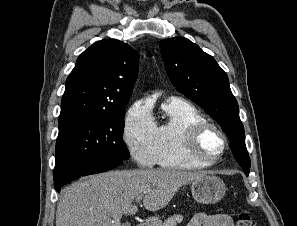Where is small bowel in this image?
<instances>
[{
  "label": "small bowel",
  "mask_w": 297,
  "mask_h": 226,
  "mask_svg": "<svg viewBox=\"0 0 297 226\" xmlns=\"http://www.w3.org/2000/svg\"><path fill=\"white\" fill-rule=\"evenodd\" d=\"M187 226H234L232 218L227 214H195Z\"/></svg>",
  "instance_id": "small-bowel-1"
}]
</instances>
